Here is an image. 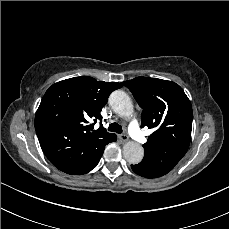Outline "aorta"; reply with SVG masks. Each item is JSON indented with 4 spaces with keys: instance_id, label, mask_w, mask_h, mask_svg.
Here are the masks:
<instances>
[{
    "instance_id": "762f6f07",
    "label": "aorta",
    "mask_w": 229,
    "mask_h": 229,
    "mask_svg": "<svg viewBox=\"0 0 229 229\" xmlns=\"http://www.w3.org/2000/svg\"><path fill=\"white\" fill-rule=\"evenodd\" d=\"M109 104L120 116L130 118L133 115V104L130 97L122 90H116L109 97ZM123 156L130 164H138L144 157V149L141 144L129 141L123 146Z\"/></svg>"
}]
</instances>
